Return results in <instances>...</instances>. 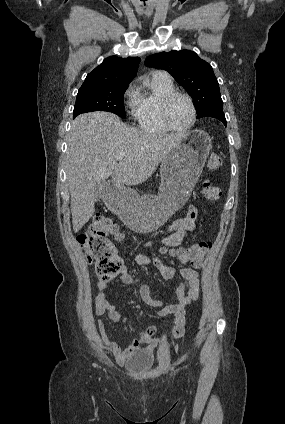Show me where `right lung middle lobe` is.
Instances as JSON below:
<instances>
[{"instance_id":"obj_1","label":"right lung middle lobe","mask_w":285,"mask_h":424,"mask_svg":"<svg viewBox=\"0 0 285 424\" xmlns=\"http://www.w3.org/2000/svg\"><path fill=\"white\" fill-rule=\"evenodd\" d=\"M129 84L80 88L74 106V117L92 111H108L125 118L123 95Z\"/></svg>"}]
</instances>
